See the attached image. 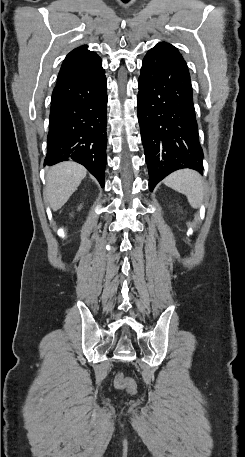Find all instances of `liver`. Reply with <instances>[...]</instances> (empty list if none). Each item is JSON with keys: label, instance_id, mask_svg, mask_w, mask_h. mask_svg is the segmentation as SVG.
I'll use <instances>...</instances> for the list:
<instances>
[{"label": "liver", "instance_id": "1", "mask_svg": "<svg viewBox=\"0 0 245 457\" xmlns=\"http://www.w3.org/2000/svg\"><path fill=\"white\" fill-rule=\"evenodd\" d=\"M86 172V168L78 162H59L48 170L44 198L53 210H58L67 202L82 178L86 176Z\"/></svg>", "mask_w": 245, "mask_h": 457}]
</instances>
